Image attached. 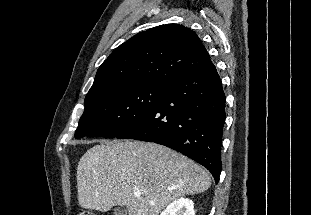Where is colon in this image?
I'll use <instances>...</instances> for the list:
<instances>
[{
  "mask_svg": "<svg viewBox=\"0 0 311 215\" xmlns=\"http://www.w3.org/2000/svg\"><path fill=\"white\" fill-rule=\"evenodd\" d=\"M79 215H95V213L90 210H82Z\"/></svg>",
  "mask_w": 311,
  "mask_h": 215,
  "instance_id": "1",
  "label": "colon"
}]
</instances>
